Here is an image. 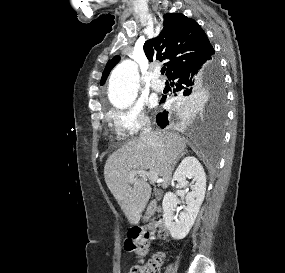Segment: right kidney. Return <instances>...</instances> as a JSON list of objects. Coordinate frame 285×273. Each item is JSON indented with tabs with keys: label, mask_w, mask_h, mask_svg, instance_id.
<instances>
[{
	"label": "right kidney",
	"mask_w": 285,
	"mask_h": 273,
	"mask_svg": "<svg viewBox=\"0 0 285 273\" xmlns=\"http://www.w3.org/2000/svg\"><path fill=\"white\" fill-rule=\"evenodd\" d=\"M187 178L192 179L191 191L186 195V207L183 212H180L178 219L174 216L179 203L177 196L168 192L162 202L165 227L176 240L183 239L188 235L205 197L206 174L200 162L193 156L184 158L173 175V179L178 182L181 188L188 186Z\"/></svg>",
	"instance_id": "ca27d5eb"
}]
</instances>
